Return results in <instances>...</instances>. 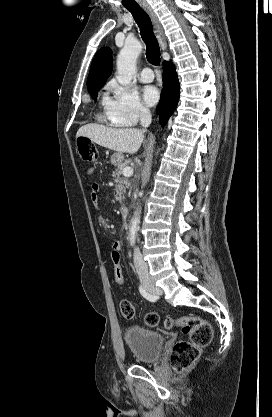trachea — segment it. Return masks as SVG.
Returning <instances> with one entry per match:
<instances>
[{
	"mask_svg": "<svg viewBox=\"0 0 272 417\" xmlns=\"http://www.w3.org/2000/svg\"><path fill=\"white\" fill-rule=\"evenodd\" d=\"M140 28V34L146 44L147 60L153 65L160 64V47L153 33L152 22L149 15L139 6L127 7Z\"/></svg>",
	"mask_w": 272,
	"mask_h": 417,
	"instance_id": "1",
	"label": "trachea"
}]
</instances>
